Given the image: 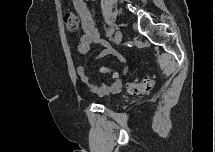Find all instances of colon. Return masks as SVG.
<instances>
[{
  "label": "colon",
  "mask_w": 215,
  "mask_h": 152,
  "mask_svg": "<svg viewBox=\"0 0 215 152\" xmlns=\"http://www.w3.org/2000/svg\"><path fill=\"white\" fill-rule=\"evenodd\" d=\"M64 22L65 26L68 31L75 33L79 29L80 25V20L77 14L73 12H66L64 16ZM100 72L101 73H112L115 78H118V73L113 72L107 67H100ZM155 85V77L154 76H147L142 81L137 82V81H130L126 84L127 90L130 94L133 95H138L142 93H146L151 91L154 88Z\"/></svg>",
  "instance_id": "colon-1"
}]
</instances>
